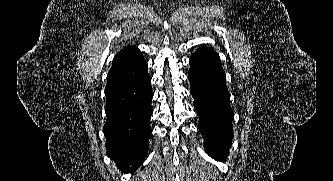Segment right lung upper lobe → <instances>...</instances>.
<instances>
[{"label":"right lung upper lobe","mask_w":333,"mask_h":181,"mask_svg":"<svg viewBox=\"0 0 333 181\" xmlns=\"http://www.w3.org/2000/svg\"><path fill=\"white\" fill-rule=\"evenodd\" d=\"M147 63L142 53L135 46L123 48L114 57V62L107 75L105 94L139 79L147 73Z\"/></svg>","instance_id":"cb5924a9"}]
</instances>
